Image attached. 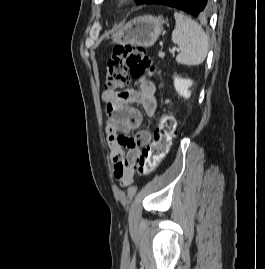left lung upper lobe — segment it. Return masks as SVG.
Listing matches in <instances>:
<instances>
[{
  "instance_id": "obj_1",
  "label": "left lung upper lobe",
  "mask_w": 265,
  "mask_h": 269,
  "mask_svg": "<svg viewBox=\"0 0 265 269\" xmlns=\"http://www.w3.org/2000/svg\"><path fill=\"white\" fill-rule=\"evenodd\" d=\"M139 4H143L146 0H137Z\"/></svg>"
}]
</instances>
